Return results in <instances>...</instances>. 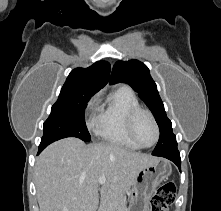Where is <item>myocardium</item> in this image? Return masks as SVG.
<instances>
[{
	"label": "myocardium",
	"mask_w": 221,
	"mask_h": 211,
	"mask_svg": "<svg viewBox=\"0 0 221 211\" xmlns=\"http://www.w3.org/2000/svg\"><path fill=\"white\" fill-rule=\"evenodd\" d=\"M141 114H146L149 116V118L151 119L153 125H154V128H155V132H156V137H155V140L152 144L150 145H144L142 144L137 136H136V131H135V127H136V122H137V119L138 117L141 115ZM126 129H127V133L130 137V139L139 147V148H151L153 146H155L158 141H159V138H160V128H159V125H158V122L155 118V116L153 115V113L146 109V108H143L141 106L139 107H135L133 109H131L128 114H127V117H126Z\"/></svg>",
	"instance_id": "f54148a6"
}]
</instances>
